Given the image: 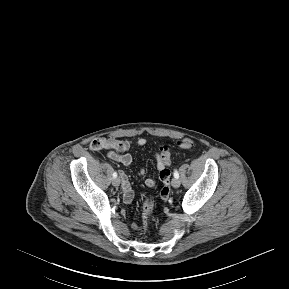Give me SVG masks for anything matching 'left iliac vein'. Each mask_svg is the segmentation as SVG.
Returning a JSON list of instances; mask_svg holds the SVG:
<instances>
[{
  "instance_id": "left-iliac-vein-1",
  "label": "left iliac vein",
  "mask_w": 289,
  "mask_h": 289,
  "mask_svg": "<svg viewBox=\"0 0 289 289\" xmlns=\"http://www.w3.org/2000/svg\"><path fill=\"white\" fill-rule=\"evenodd\" d=\"M171 185L174 187V188H178L180 186V180L178 178H173L172 181H171Z\"/></svg>"
}]
</instances>
